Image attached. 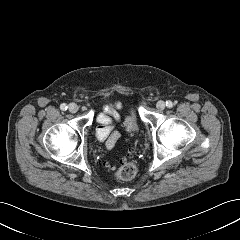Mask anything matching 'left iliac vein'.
<instances>
[{"mask_svg": "<svg viewBox=\"0 0 240 240\" xmlns=\"http://www.w3.org/2000/svg\"><path fill=\"white\" fill-rule=\"evenodd\" d=\"M166 104L164 101H158L156 104L157 109L163 110L165 108Z\"/></svg>", "mask_w": 240, "mask_h": 240, "instance_id": "1", "label": "left iliac vein"}]
</instances>
